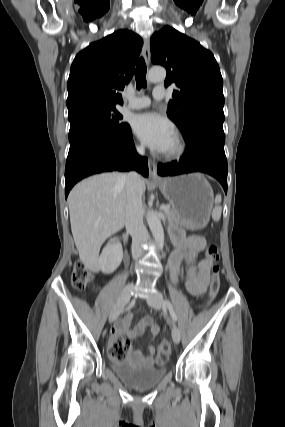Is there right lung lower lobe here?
Masks as SVG:
<instances>
[{
    "instance_id": "98d812e1",
    "label": "right lung lower lobe",
    "mask_w": 285,
    "mask_h": 427,
    "mask_svg": "<svg viewBox=\"0 0 285 427\" xmlns=\"http://www.w3.org/2000/svg\"><path fill=\"white\" fill-rule=\"evenodd\" d=\"M135 169L148 176V160L135 150L131 129L121 136L87 130L70 141L65 168V197L81 179L107 171Z\"/></svg>"
}]
</instances>
